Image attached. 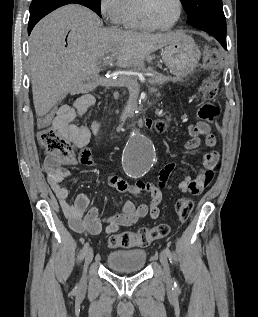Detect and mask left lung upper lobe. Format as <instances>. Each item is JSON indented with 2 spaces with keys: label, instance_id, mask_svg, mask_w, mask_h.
<instances>
[{
  "label": "left lung upper lobe",
  "instance_id": "5c2ea615",
  "mask_svg": "<svg viewBox=\"0 0 258 317\" xmlns=\"http://www.w3.org/2000/svg\"><path fill=\"white\" fill-rule=\"evenodd\" d=\"M187 22L195 28H226L222 0H181Z\"/></svg>",
  "mask_w": 258,
  "mask_h": 317
}]
</instances>
